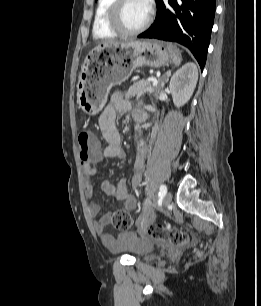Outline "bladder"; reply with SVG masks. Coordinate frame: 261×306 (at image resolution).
<instances>
[{
    "label": "bladder",
    "mask_w": 261,
    "mask_h": 306,
    "mask_svg": "<svg viewBox=\"0 0 261 306\" xmlns=\"http://www.w3.org/2000/svg\"><path fill=\"white\" fill-rule=\"evenodd\" d=\"M153 250V243L139 241L134 246V256L138 261H150L154 258Z\"/></svg>",
    "instance_id": "1"
}]
</instances>
